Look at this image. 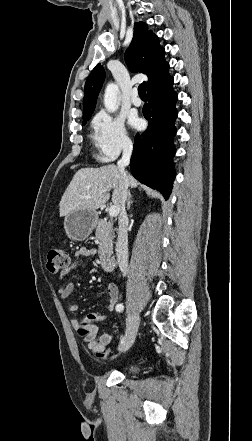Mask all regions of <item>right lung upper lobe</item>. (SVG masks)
Returning a JSON list of instances; mask_svg holds the SVG:
<instances>
[{"mask_svg":"<svg viewBox=\"0 0 252 441\" xmlns=\"http://www.w3.org/2000/svg\"><path fill=\"white\" fill-rule=\"evenodd\" d=\"M165 50L159 45L158 37L144 22L134 24L133 39L125 52V61L131 71L148 76L147 89L157 82L167 67ZM105 79V71L97 64L86 80L83 100V121H88L95 109L97 96Z\"/></svg>","mask_w":252,"mask_h":441,"instance_id":"obj_1","label":"right lung upper lobe"}]
</instances>
